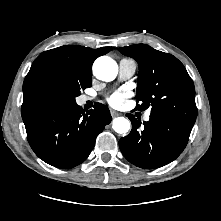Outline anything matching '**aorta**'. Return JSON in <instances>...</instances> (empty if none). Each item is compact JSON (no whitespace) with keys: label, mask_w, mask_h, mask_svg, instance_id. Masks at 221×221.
<instances>
[{"label":"aorta","mask_w":221,"mask_h":221,"mask_svg":"<svg viewBox=\"0 0 221 221\" xmlns=\"http://www.w3.org/2000/svg\"><path fill=\"white\" fill-rule=\"evenodd\" d=\"M93 72L99 80L112 81L117 76L118 66L112 58L102 56L94 62ZM112 128L119 134H125L130 129V122L124 117H117L112 122Z\"/></svg>","instance_id":"762f6f07"}]
</instances>
